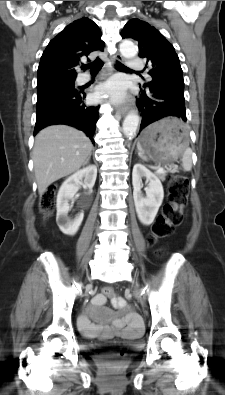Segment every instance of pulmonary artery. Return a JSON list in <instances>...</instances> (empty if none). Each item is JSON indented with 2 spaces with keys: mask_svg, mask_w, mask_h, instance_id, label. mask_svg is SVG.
Segmentation results:
<instances>
[{
  "mask_svg": "<svg viewBox=\"0 0 225 395\" xmlns=\"http://www.w3.org/2000/svg\"><path fill=\"white\" fill-rule=\"evenodd\" d=\"M128 66L132 70H141L143 69V63L139 58H133L128 62ZM91 79V77L87 74L81 75L78 78L79 83H86Z\"/></svg>",
  "mask_w": 225,
  "mask_h": 395,
  "instance_id": "1",
  "label": "pulmonary artery"
}]
</instances>
